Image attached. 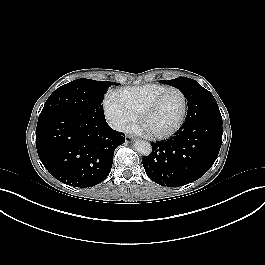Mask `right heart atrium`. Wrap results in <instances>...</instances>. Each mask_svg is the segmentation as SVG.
Instances as JSON below:
<instances>
[{"mask_svg":"<svg viewBox=\"0 0 265 265\" xmlns=\"http://www.w3.org/2000/svg\"><path fill=\"white\" fill-rule=\"evenodd\" d=\"M103 109L108 122L118 131H129L136 125V115L124 103L118 91L106 93Z\"/></svg>","mask_w":265,"mask_h":265,"instance_id":"right-heart-atrium-1","label":"right heart atrium"}]
</instances>
